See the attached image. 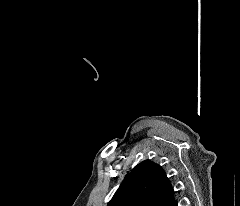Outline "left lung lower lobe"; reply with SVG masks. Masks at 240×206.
<instances>
[{"mask_svg":"<svg viewBox=\"0 0 240 206\" xmlns=\"http://www.w3.org/2000/svg\"><path fill=\"white\" fill-rule=\"evenodd\" d=\"M172 206H178V202L175 201L174 204Z\"/></svg>","mask_w":240,"mask_h":206,"instance_id":"left-lung-lower-lobe-1","label":"left lung lower lobe"}]
</instances>
